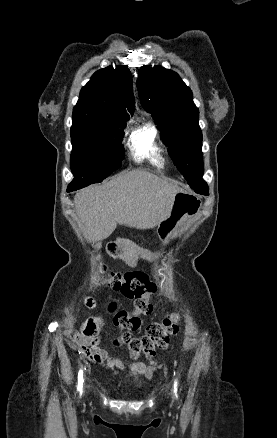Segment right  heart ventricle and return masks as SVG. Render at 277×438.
<instances>
[{"instance_id":"obj_1","label":"right heart ventricle","mask_w":277,"mask_h":438,"mask_svg":"<svg viewBox=\"0 0 277 438\" xmlns=\"http://www.w3.org/2000/svg\"><path fill=\"white\" fill-rule=\"evenodd\" d=\"M156 137L157 131L151 124H145L131 133L129 147L136 161L148 158L153 164L162 166V150L157 143Z\"/></svg>"}]
</instances>
